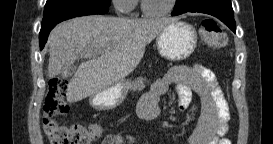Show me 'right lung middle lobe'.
<instances>
[{
	"mask_svg": "<svg viewBox=\"0 0 273 144\" xmlns=\"http://www.w3.org/2000/svg\"><path fill=\"white\" fill-rule=\"evenodd\" d=\"M70 2H95L101 3L105 5H110L111 0H47L44 8V14L47 13L51 8L55 5L62 4V3H70Z\"/></svg>",
	"mask_w": 273,
	"mask_h": 144,
	"instance_id": "obj_1",
	"label": "right lung middle lobe"
}]
</instances>
